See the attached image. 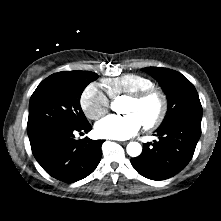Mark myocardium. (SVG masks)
Segmentation results:
<instances>
[{"mask_svg": "<svg viewBox=\"0 0 221 221\" xmlns=\"http://www.w3.org/2000/svg\"><path fill=\"white\" fill-rule=\"evenodd\" d=\"M150 98H156L158 100L159 109L154 118L143 123L145 129H154L165 120L168 112V100L165 93L159 88L153 86L127 96V99L135 103H142Z\"/></svg>", "mask_w": 221, "mask_h": 221, "instance_id": "f54148a6", "label": "myocardium"}]
</instances>
